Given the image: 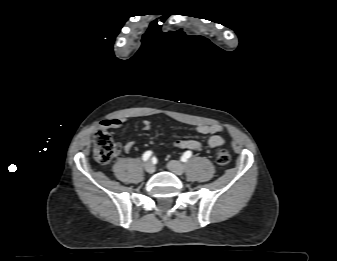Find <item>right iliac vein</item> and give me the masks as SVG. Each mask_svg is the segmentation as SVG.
<instances>
[{
    "label": "right iliac vein",
    "instance_id": "right-iliac-vein-1",
    "mask_svg": "<svg viewBox=\"0 0 337 261\" xmlns=\"http://www.w3.org/2000/svg\"><path fill=\"white\" fill-rule=\"evenodd\" d=\"M145 170L149 173L152 174L155 171V167L152 162H148L145 164Z\"/></svg>",
    "mask_w": 337,
    "mask_h": 261
}]
</instances>
